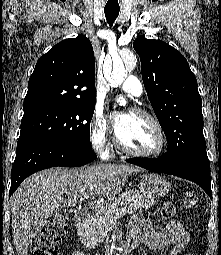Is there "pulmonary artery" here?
Returning <instances> with one entry per match:
<instances>
[{
  "label": "pulmonary artery",
  "mask_w": 221,
  "mask_h": 255,
  "mask_svg": "<svg viewBox=\"0 0 221 255\" xmlns=\"http://www.w3.org/2000/svg\"><path fill=\"white\" fill-rule=\"evenodd\" d=\"M120 89L135 97H140L143 93L142 84L135 76H128L120 85Z\"/></svg>",
  "instance_id": "obj_1"
}]
</instances>
